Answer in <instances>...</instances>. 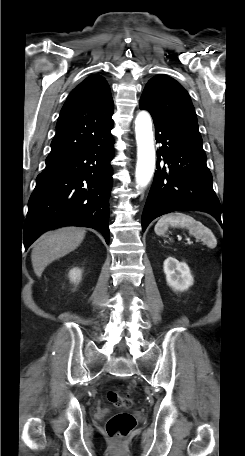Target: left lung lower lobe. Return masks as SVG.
Here are the masks:
<instances>
[{"instance_id": "0a47b994", "label": "left lung lower lobe", "mask_w": 245, "mask_h": 456, "mask_svg": "<svg viewBox=\"0 0 245 456\" xmlns=\"http://www.w3.org/2000/svg\"><path fill=\"white\" fill-rule=\"evenodd\" d=\"M157 170L143 214L142 230L155 218L178 210L203 211L220 221V202L212 187L202 139L154 116ZM163 157L164 164L160 161Z\"/></svg>"}]
</instances>
